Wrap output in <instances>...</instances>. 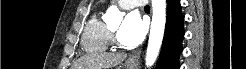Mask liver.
Segmentation results:
<instances>
[{
  "mask_svg": "<svg viewBox=\"0 0 246 69\" xmlns=\"http://www.w3.org/2000/svg\"><path fill=\"white\" fill-rule=\"evenodd\" d=\"M123 53H100L86 55L78 59L74 69H110L126 59Z\"/></svg>",
  "mask_w": 246,
  "mask_h": 69,
  "instance_id": "liver-1",
  "label": "liver"
}]
</instances>
